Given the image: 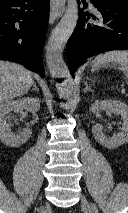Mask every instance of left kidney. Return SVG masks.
Here are the masks:
<instances>
[{
	"mask_svg": "<svg viewBox=\"0 0 128 213\" xmlns=\"http://www.w3.org/2000/svg\"><path fill=\"white\" fill-rule=\"evenodd\" d=\"M89 109L94 114L100 110H109L114 115H120L123 119L121 131L111 137H106L103 134V127L100 124H95L92 127V133L98 143L108 149H115L128 143V106L124 102L118 100L96 101Z\"/></svg>",
	"mask_w": 128,
	"mask_h": 213,
	"instance_id": "1",
	"label": "left kidney"
}]
</instances>
